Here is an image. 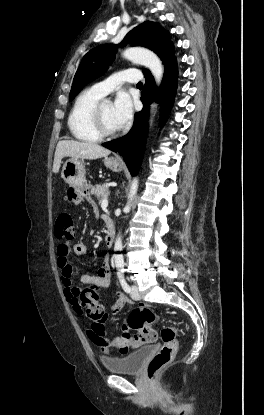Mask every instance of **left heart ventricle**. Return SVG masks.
<instances>
[{
	"mask_svg": "<svg viewBox=\"0 0 264 415\" xmlns=\"http://www.w3.org/2000/svg\"><path fill=\"white\" fill-rule=\"evenodd\" d=\"M101 115L104 126L107 131L115 132L118 130L112 115V106L109 104H101Z\"/></svg>",
	"mask_w": 264,
	"mask_h": 415,
	"instance_id": "b2bd125f",
	"label": "left heart ventricle"
}]
</instances>
